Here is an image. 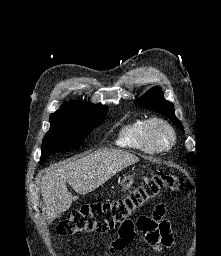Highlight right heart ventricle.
<instances>
[{"instance_id": "e07e8e85", "label": "right heart ventricle", "mask_w": 221, "mask_h": 256, "mask_svg": "<svg viewBox=\"0 0 221 256\" xmlns=\"http://www.w3.org/2000/svg\"><path fill=\"white\" fill-rule=\"evenodd\" d=\"M147 120L138 118L124 124L118 133L116 144L152 154L156 150L148 142L145 135Z\"/></svg>"}]
</instances>
